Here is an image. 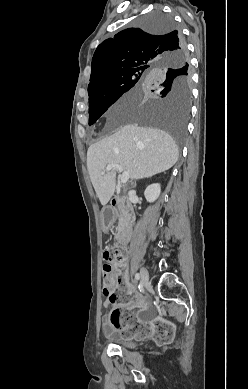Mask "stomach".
I'll return each mask as SVG.
<instances>
[{"instance_id": "0dacf381", "label": "stomach", "mask_w": 248, "mask_h": 389, "mask_svg": "<svg viewBox=\"0 0 248 389\" xmlns=\"http://www.w3.org/2000/svg\"><path fill=\"white\" fill-rule=\"evenodd\" d=\"M101 219H102V225L103 226H110L111 225V219L113 218V215L111 214V208L110 207H104L102 209Z\"/></svg>"}]
</instances>
